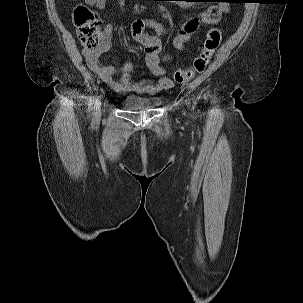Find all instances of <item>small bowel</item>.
<instances>
[{
	"mask_svg": "<svg viewBox=\"0 0 303 303\" xmlns=\"http://www.w3.org/2000/svg\"><path fill=\"white\" fill-rule=\"evenodd\" d=\"M126 0H116L120 7L125 5ZM86 2L94 6L98 10H103L109 0H86ZM140 5L135 6V10H139ZM226 4L212 5L207 11L201 14L199 19L190 18L187 20L179 32L173 39L175 48L181 50L197 33L201 25H210L217 23L221 16L227 11ZM145 27L153 30V34L149 35L145 32ZM113 25L109 24L103 31L102 42L94 49L84 50V56L88 67L96 73L101 80L109 85L112 89L120 93L130 91L138 93H155L159 90H165L172 86L170 78L165 76L164 63L170 59L169 56H161V40L160 37L165 34L163 25L155 19H135L131 24L132 36L142 43L145 47L146 65L151 73V78L141 81H134L132 73L134 67L130 61H126L120 68L116 69L111 66H105L101 62V56L111 48L110 37L113 32ZM116 73L121 74V78H114ZM158 84L154 83L155 78H159Z\"/></svg>",
	"mask_w": 303,
	"mask_h": 303,
	"instance_id": "1",
	"label": "small bowel"
}]
</instances>
